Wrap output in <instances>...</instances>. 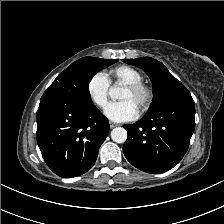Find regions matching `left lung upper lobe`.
<instances>
[{"label":"left lung upper lobe","instance_id":"1","mask_svg":"<svg viewBox=\"0 0 224 224\" xmlns=\"http://www.w3.org/2000/svg\"><path fill=\"white\" fill-rule=\"evenodd\" d=\"M123 61L142 68L152 81L154 97L147 113L159 111L171 102L191 96L184 85L170 74L161 62L150 57Z\"/></svg>","mask_w":224,"mask_h":224}]
</instances>
